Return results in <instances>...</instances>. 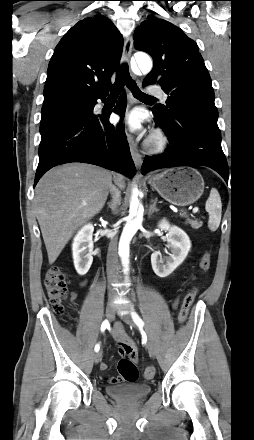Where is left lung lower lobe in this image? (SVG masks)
Instances as JSON below:
<instances>
[{"mask_svg":"<svg viewBox=\"0 0 254 440\" xmlns=\"http://www.w3.org/2000/svg\"><path fill=\"white\" fill-rule=\"evenodd\" d=\"M173 110V118H164L155 108L152 110L155 122L166 132L170 145L161 155L145 157L142 173L177 166H207L228 183L229 171L221 148L218 117L189 107H174Z\"/></svg>","mask_w":254,"mask_h":440,"instance_id":"obj_1","label":"left lung lower lobe"}]
</instances>
